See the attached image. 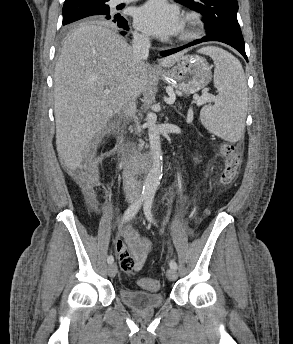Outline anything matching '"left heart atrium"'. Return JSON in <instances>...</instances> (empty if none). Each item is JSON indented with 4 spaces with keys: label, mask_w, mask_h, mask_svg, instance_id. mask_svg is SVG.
Listing matches in <instances>:
<instances>
[{
    "label": "left heart atrium",
    "mask_w": 293,
    "mask_h": 344,
    "mask_svg": "<svg viewBox=\"0 0 293 344\" xmlns=\"http://www.w3.org/2000/svg\"><path fill=\"white\" fill-rule=\"evenodd\" d=\"M134 23L139 30L157 38L176 35L183 27L178 9L165 0H151L140 7Z\"/></svg>",
    "instance_id": "39dd6f15"
}]
</instances>
